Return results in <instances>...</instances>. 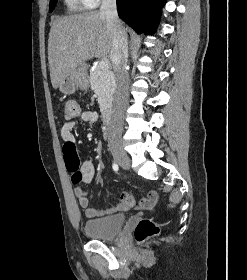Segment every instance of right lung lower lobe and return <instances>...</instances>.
Listing matches in <instances>:
<instances>
[{
	"label": "right lung lower lobe",
	"instance_id": "right-lung-lower-lobe-1",
	"mask_svg": "<svg viewBox=\"0 0 247 280\" xmlns=\"http://www.w3.org/2000/svg\"><path fill=\"white\" fill-rule=\"evenodd\" d=\"M165 0H117L119 17L138 34L155 31Z\"/></svg>",
	"mask_w": 247,
	"mask_h": 280
}]
</instances>
